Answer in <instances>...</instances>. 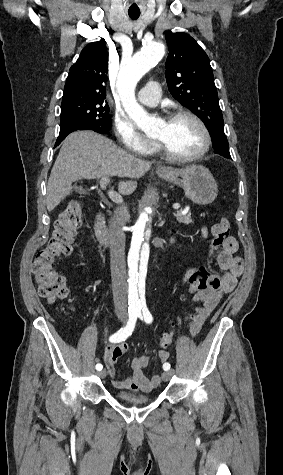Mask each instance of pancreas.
Instances as JSON below:
<instances>
[{
  "label": "pancreas",
  "instance_id": "1",
  "mask_svg": "<svg viewBox=\"0 0 283 475\" xmlns=\"http://www.w3.org/2000/svg\"><path fill=\"white\" fill-rule=\"evenodd\" d=\"M183 210H178L177 214H174L177 222L179 224H193V220H191V214H182Z\"/></svg>",
  "mask_w": 283,
  "mask_h": 475
}]
</instances>
